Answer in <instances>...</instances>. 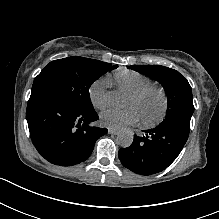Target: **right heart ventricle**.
Wrapping results in <instances>:
<instances>
[{
    "mask_svg": "<svg viewBox=\"0 0 219 219\" xmlns=\"http://www.w3.org/2000/svg\"><path fill=\"white\" fill-rule=\"evenodd\" d=\"M115 84L126 92L132 93L142 87L152 85V81L146 75L134 71L123 69L115 73Z\"/></svg>",
    "mask_w": 219,
    "mask_h": 219,
    "instance_id": "right-heart-ventricle-1",
    "label": "right heart ventricle"
}]
</instances>
